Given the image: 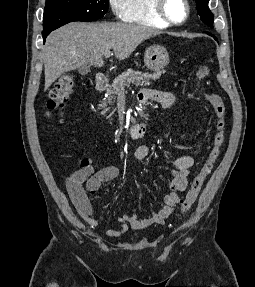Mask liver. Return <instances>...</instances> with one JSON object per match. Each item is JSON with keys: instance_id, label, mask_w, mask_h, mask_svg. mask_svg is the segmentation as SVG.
I'll use <instances>...</instances> for the list:
<instances>
[{"instance_id": "obj_1", "label": "liver", "mask_w": 255, "mask_h": 287, "mask_svg": "<svg viewBox=\"0 0 255 287\" xmlns=\"http://www.w3.org/2000/svg\"><path fill=\"white\" fill-rule=\"evenodd\" d=\"M158 32L138 24H85L71 22L52 32L42 52L45 66V92L65 72L91 64L101 68L102 56L113 50L115 58L125 60L135 48Z\"/></svg>"}]
</instances>
